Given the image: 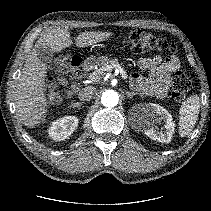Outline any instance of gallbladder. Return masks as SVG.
<instances>
[{"instance_id": "bac80fb5", "label": "gallbladder", "mask_w": 211, "mask_h": 211, "mask_svg": "<svg viewBox=\"0 0 211 211\" xmlns=\"http://www.w3.org/2000/svg\"><path fill=\"white\" fill-rule=\"evenodd\" d=\"M39 60L44 64H50L53 61V52L47 46H39L36 48Z\"/></svg>"}]
</instances>
